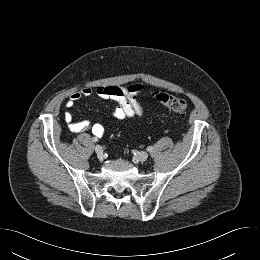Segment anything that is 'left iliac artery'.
Masks as SVG:
<instances>
[{
    "label": "left iliac artery",
    "instance_id": "44dca946",
    "mask_svg": "<svg viewBox=\"0 0 260 260\" xmlns=\"http://www.w3.org/2000/svg\"><path fill=\"white\" fill-rule=\"evenodd\" d=\"M153 150V147L152 146H149L148 148H147V151L148 152H151Z\"/></svg>",
    "mask_w": 260,
    "mask_h": 260
}]
</instances>
